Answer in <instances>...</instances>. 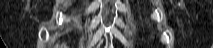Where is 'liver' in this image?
<instances>
[{
    "label": "liver",
    "mask_w": 213,
    "mask_h": 48,
    "mask_svg": "<svg viewBox=\"0 0 213 48\" xmlns=\"http://www.w3.org/2000/svg\"><path fill=\"white\" fill-rule=\"evenodd\" d=\"M55 48H68L66 44H57Z\"/></svg>",
    "instance_id": "6515ba94"
}]
</instances>
